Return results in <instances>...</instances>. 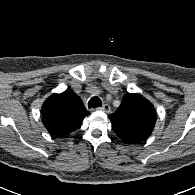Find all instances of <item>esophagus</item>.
Listing matches in <instances>:
<instances>
[{"mask_svg":"<svg viewBox=\"0 0 195 195\" xmlns=\"http://www.w3.org/2000/svg\"><path fill=\"white\" fill-rule=\"evenodd\" d=\"M97 109L108 113V112H110L111 107L109 104H104L102 107H99Z\"/></svg>","mask_w":195,"mask_h":195,"instance_id":"1","label":"esophagus"}]
</instances>
